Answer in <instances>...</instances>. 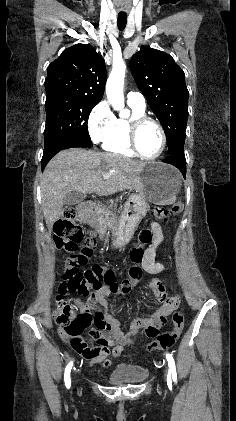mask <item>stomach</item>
Here are the masks:
<instances>
[{"label":"stomach","mask_w":236,"mask_h":421,"mask_svg":"<svg viewBox=\"0 0 236 421\" xmlns=\"http://www.w3.org/2000/svg\"><path fill=\"white\" fill-rule=\"evenodd\" d=\"M142 190L130 194L123 213L116 219L111 213H101L99 223L106 225L113 237V247H125L131 241L138 225L149 211L148 202L172 204L181 186L178 170L163 162H144L140 170Z\"/></svg>","instance_id":"stomach-1"}]
</instances>
